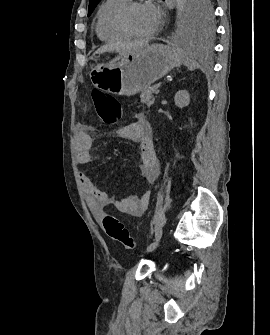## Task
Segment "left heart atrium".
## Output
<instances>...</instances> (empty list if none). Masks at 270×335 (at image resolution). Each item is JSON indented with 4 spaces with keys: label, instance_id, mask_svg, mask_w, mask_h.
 I'll use <instances>...</instances> for the list:
<instances>
[{
    "label": "left heart atrium",
    "instance_id": "obj_1",
    "mask_svg": "<svg viewBox=\"0 0 270 335\" xmlns=\"http://www.w3.org/2000/svg\"><path fill=\"white\" fill-rule=\"evenodd\" d=\"M142 9L147 22L146 32L151 33L163 23V16L160 10L153 5H146Z\"/></svg>",
    "mask_w": 270,
    "mask_h": 335
}]
</instances>
